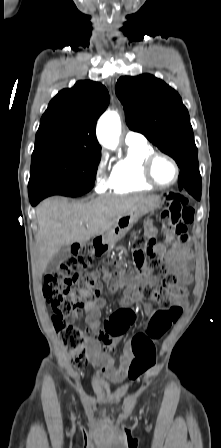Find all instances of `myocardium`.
<instances>
[{"mask_svg":"<svg viewBox=\"0 0 221 448\" xmlns=\"http://www.w3.org/2000/svg\"><path fill=\"white\" fill-rule=\"evenodd\" d=\"M160 157L166 158L168 161H170L176 170V176H175L174 180L168 184H162V183L158 182L153 174L154 163ZM180 174H181V169H180L178 162L171 155L164 153V152H152L150 155H148L145 158V160L143 162L144 180L147 183H149L152 186L157 187V188H169V187L175 185L180 178Z\"/></svg>","mask_w":221,"mask_h":448,"instance_id":"myocardium-1","label":"myocardium"}]
</instances>
